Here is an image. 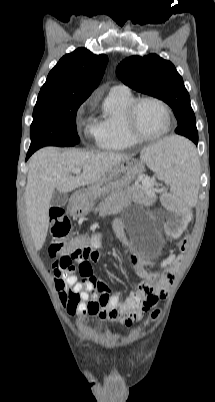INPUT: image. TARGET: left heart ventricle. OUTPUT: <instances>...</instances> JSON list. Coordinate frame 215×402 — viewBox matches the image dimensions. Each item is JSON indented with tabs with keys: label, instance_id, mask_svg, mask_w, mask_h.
I'll return each instance as SVG.
<instances>
[{
	"label": "left heart ventricle",
	"instance_id": "b2bd125f",
	"mask_svg": "<svg viewBox=\"0 0 215 402\" xmlns=\"http://www.w3.org/2000/svg\"><path fill=\"white\" fill-rule=\"evenodd\" d=\"M137 125L146 135H157L167 126V116L161 106L154 102H144L138 109Z\"/></svg>",
	"mask_w": 215,
	"mask_h": 402
}]
</instances>
